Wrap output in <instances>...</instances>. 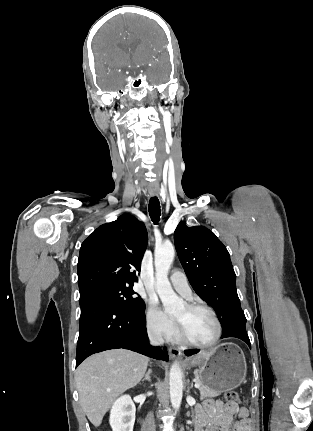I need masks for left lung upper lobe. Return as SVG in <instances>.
Returning <instances> with one entry per match:
<instances>
[{
	"mask_svg": "<svg viewBox=\"0 0 313 431\" xmlns=\"http://www.w3.org/2000/svg\"><path fill=\"white\" fill-rule=\"evenodd\" d=\"M179 260L195 292L215 310L222 333L245 327L246 317L236 290L229 252L216 235L202 226L182 221L174 232Z\"/></svg>",
	"mask_w": 313,
	"mask_h": 431,
	"instance_id": "1",
	"label": "left lung upper lobe"
}]
</instances>
